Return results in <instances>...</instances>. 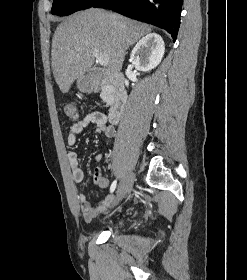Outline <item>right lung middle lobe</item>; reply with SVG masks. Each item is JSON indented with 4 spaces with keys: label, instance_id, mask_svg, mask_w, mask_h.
I'll list each match as a JSON object with an SVG mask.
<instances>
[{
    "label": "right lung middle lobe",
    "instance_id": "obj_1",
    "mask_svg": "<svg viewBox=\"0 0 247 280\" xmlns=\"http://www.w3.org/2000/svg\"><path fill=\"white\" fill-rule=\"evenodd\" d=\"M100 0H54L52 14L70 15L76 11L93 7Z\"/></svg>",
    "mask_w": 247,
    "mask_h": 280
}]
</instances>
